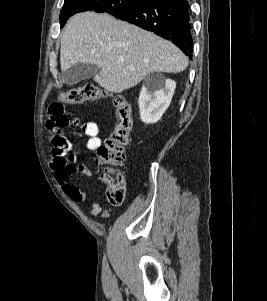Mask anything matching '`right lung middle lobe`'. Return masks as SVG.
Masks as SVG:
<instances>
[{"label": "right lung middle lobe", "mask_w": 267, "mask_h": 301, "mask_svg": "<svg viewBox=\"0 0 267 301\" xmlns=\"http://www.w3.org/2000/svg\"><path fill=\"white\" fill-rule=\"evenodd\" d=\"M142 0H65L60 13L61 27L66 23L67 19L82 11L106 12L116 15L120 12L130 10L142 3Z\"/></svg>", "instance_id": "1"}]
</instances>
